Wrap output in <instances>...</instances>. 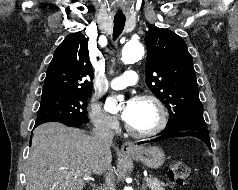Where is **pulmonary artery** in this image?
Masks as SVG:
<instances>
[{
	"label": "pulmonary artery",
	"instance_id": "e3ab8cb5",
	"mask_svg": "<svg viewBox=\"0 0 238 190\" xmlns=\"http://www.w3.org/2000/svg\"><path fill=\"white\" fill-rule=\"evenodd\" d=\"M138 81V74L133 70H128L123 73L120 77L114 78L110 86L114 90H121L127 86L134 85Z\"/></svg>",
	"mask_w": 238,
	"mask_h": 190
}]
</instances>
